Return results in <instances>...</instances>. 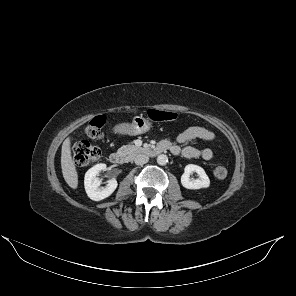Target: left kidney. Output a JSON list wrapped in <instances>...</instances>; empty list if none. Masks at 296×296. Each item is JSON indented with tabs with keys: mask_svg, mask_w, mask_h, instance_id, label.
Returning <instances> with one entry per match:
<instances>
[{
	"mask_svg": "<svg viewBox=\"0 0 296 296\" xmlns=\"http://www.w3.org/2000/svg\"><path fill=\"white\" fill-rule=\"evenodd\" d=\"M193 172L198 174V179H190V174ZM181 184L187 189H201L208 188L210 186V180L202 167L188 164L181 176Z\"/></svg>",
	"mask_w": 296,
	"mask_h": 296,
	"instance_id": "1",
	"label": "left kidney"
}]
</instances>
